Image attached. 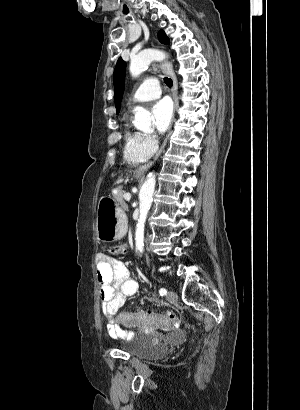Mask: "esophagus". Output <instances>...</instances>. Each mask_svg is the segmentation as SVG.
<instances>
[{"label":"esophagus","mask_w":300,"mask_h":410,"mask_svg":"<svg viewBox=\"0 0 300 410\" xmlns=\"http://www.w3.org/2000/svg\"><path fill=\"white\" fill-rule=\"evenodd\" d=\"M161 68L164 71V73H166L167 75H169L171 77V79L173 81V88H172L173 99H174L175 108L177 109V107H178V100H177L178 83H177L176 75H175V73L173 71V68H172V65L169 61H163L162 64H161ZM170 134H171V131H169L165 141L163 142V144H162L161 148L159 149V151L156 153L155 157L151 161H149L147 164L138 167L135 171L136 173L143 174L153 165L155 160L160 156L161 152L163 151L164 147L166 146V143H167V140H168Z\"/></svg>","instance_id":"1"}]
</instances>
